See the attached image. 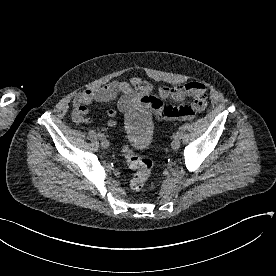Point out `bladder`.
<instances>
[{
    "mask_svg": "<svg viewBox=\"0 0 276 276\" xmlns=\"http://www.w3.org/2000/svg\"><path fill=\"white\" fill-rule=\"evenodd\" d=\"M123 130L125 138L136 149L147 148L153 136L152 113L145 108L134 109L124 115Z\"/></svg>",
    "mask_w": 276,
    "mask_h": 276,
    "instance_id": "obj_1",
    "label": "bladder"
}]
</instances>
